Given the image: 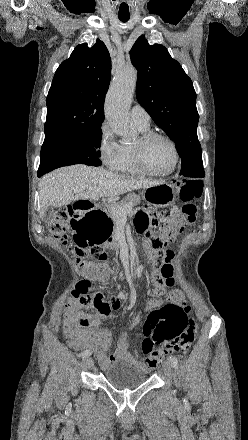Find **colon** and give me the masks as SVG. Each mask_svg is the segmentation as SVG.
Masks as SVG:
<instances>
[{
    "mask_svg": "<svg viewBox=\"0 0 248 440\" xmlns=\"http://www.w3.org/2000/svg\"><path fill=\"white\" fill-rule=\"evenodd\" d=\"M202 184L198 180H183L180 188V198L183 205L180 214L175 217L171 211L163 212L162 216L169 218L164 222L158 233L148 234L147 249L152 258L171 257L174 253L169 249L170 243L182 232L183 228L195 221V199L201 196ZM72 218H82V208L68 205L59 208L48 223L52 236L67 243L71 232ZM154 220V219H153ZM75 268L84 278L77 283L72 295L76 304L84 309L99 306L102 296L92 287L91 279L106 281L111 275L108 255L101 246H86L85 241H75L73 247ZM81 325H88L87 318L79 317ZM197 332L196 322L189 318L188 311L176 303H167L153 309L147 316L143 327L141 348L147 356L151 367H155L162 355L169 353H185L192 344ZM164 343L160 350L154 346Z\"/></svg>",
    "mask_w": 248,
    "mask_h": 440,
    "instance_id": "colon-1",
    "label": "colon"
}]
</instances>
